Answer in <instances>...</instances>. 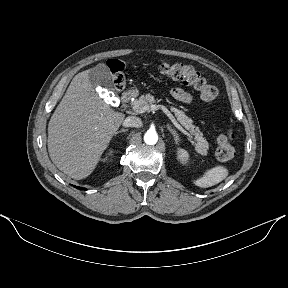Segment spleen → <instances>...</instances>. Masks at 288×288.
Returning a JSON list of instances; mask_svg holds the SVG:
<instances>
[{
  "instance_id": "spleen-1",
  "label": "spleen",
  "mask_w": 288,
  "mask_h": 288,
  "mask_svg": "<svg viewBox=\"0 0 288 288\" xmlns=\"http://www.w3.org/2000/svg\"><path fill=\"white\" fill-rule=\"evenodd\" d=\"M177 159L186 164L189 160V153L182 149H177ZM228 176V170L223 166H216L210 169L203 177L195 181V185L203 188L211 187L223 181Z\"/></svg>"
}]
</instances>
